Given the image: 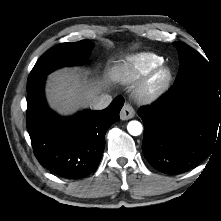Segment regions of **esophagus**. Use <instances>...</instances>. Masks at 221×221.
I'll return each mask as SVG.
<instances>
[{
  "label": "esophagus",
  "mask_w": 221,
  "mask_h": 221,
  "mask_svg": "<svg viewBox=\"0 0 221 221\" xmlns=\"http://www.w3.org/2000/svg\"><path fill=\"white\" fill-rule=\"evenodd\" d=\"M134 116H135L134 108L130 104L126 103L120 112V118L122 120H128L133 118Z\"/></svg>",
  "instance_id": "1"
}]
</instances>
